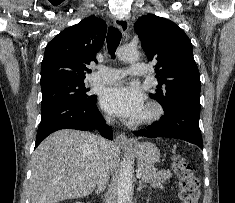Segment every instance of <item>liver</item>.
Wrapping results in <instances>:
<instances>
[{"label": "liver", "instance_id": "liver-1", "mask_svg": "<svg viewBox=\"0 0 235 203\" xmlns=\"http://www.w3.org/2000/svg\"><path fill=\"white\" fill-rule=\"evenodd\" d=\"M118 157V146L109 142V170L116 167ZM102 159L98 136L71 129L52 133L32 156V203H57L88 196L97 184Z\"/></svg>", "mask_w": 235, "mask_h": 203}]
</instances>
